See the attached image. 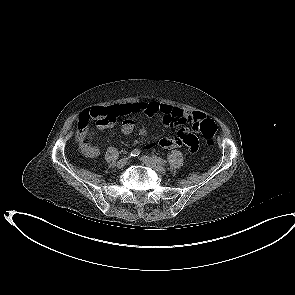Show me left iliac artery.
Instances as JSON below:
<instances>
[{
  "instance_id": "44dca946",
  "label": "left iliac artery",
  "mask_w": 295,
  "mask_h": 295,
  "mask_svg": "<svg viewBox=\"0 0 295 295\" xmlns=\"http://www.w3.org/2000/svg\"><path fill=\"white\" fill-rule=\"evenodd\" d=\"M153 159H154L157 163H159V164H161V165H165V164H166V161H165L164 159H162V158H160V157H157L156 155H153Z\"/></svg>"
}]
</instances>
